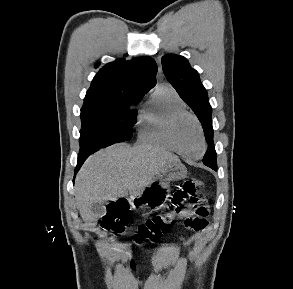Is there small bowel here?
Returning a JSON list of instances; mask_svg holds the SVG:
<instances>
[{"label": "small bowel", "mask_w": 293, "mask_h": 289, "mask_svg": "<svg viewBox=\"0 0 293 289\" xmlns=\"http://www.w3.org/2000/svg\"><path fill=\"white\" fill-rule=\"evenodd\" d=\"M177 218L181 219V220H186V219H189V218L198 219V222L201 225V227L198 229V231L204 230L208 225V223H207L208 221L206 219L198 218L195 215L193 210H183L177 215ZM179 240L181 242H183L184 244H188L187 240L184 237H179ZM158 287H159V285H158V283L156 281L149 280L145 289H158Z\"/></svg>", "instance_id": "small-bowel-1"}]
</instances>
